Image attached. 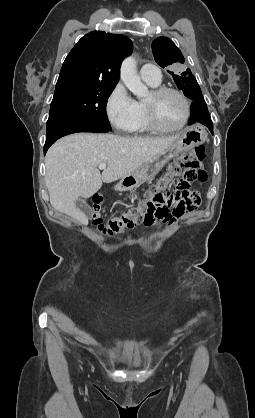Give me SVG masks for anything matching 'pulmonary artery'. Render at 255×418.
I'll return each instance as SVG.
<instances>
[{"label":"pulmonary artery","mask_w":255,"mask_h":418,"mask_svg":"<svg viewBox=\"0 0 255 418\" xmlns=\"http://www.w3.org/2000/svg\"><path fill=\"white\" fill-rule=\"evenodd\" d=\"M140 74L142 79L147 83L158 84L161 82V72L159 68L153 64L143 65Z\"/></svg>","instance_id":"pulmonary-artery-1"}]
</instances>
